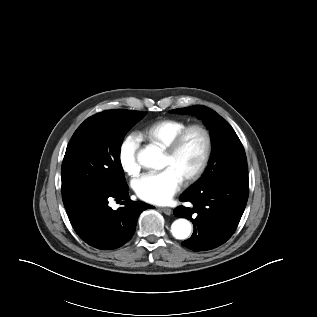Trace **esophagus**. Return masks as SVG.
<instances>
[{
  "mask_svg": "<svg viewBox=\"0 0 317 317\" xmlns=\"http://www.w3.org/2000/svg\"><path fill=\"white\" fill-rule=\"evenodd\" d=\"M160 210L165 213L166 215H171L172 214V209L171 208H168V207H163V208H160Z\"/></svg>",
  "mask_w": 317,
  "mask_h": 317,
  "instance_id": "1",
  "label": "esophagus"
}]
</instances>
